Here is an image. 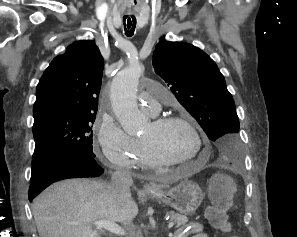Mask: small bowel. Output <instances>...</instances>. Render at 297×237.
<instances>
[{
	"mask_svg": "<svg viewBox=\"0 0 297 237\" xmlns=\"http://www.w3.org/2000/svg\"><path fill=\"white\" fill-rule=\"evenodd\" d=\"M174 236L177 237H209L206 233L203 232L202 225L198 222H191L187 226L177 230Z\"/></svg>",
	"mask_w": 297,
	"mask_h": 237,
	"instance_id": "small-bowel-1",
	"label": "small bowel"
}]
</instances>
